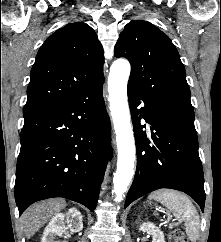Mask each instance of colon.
Returning <instances> with one entry per match:
<instances>
[{
    "instance_id": "colon-1",
    "label": "colon",
    "mask_w": 221,
    "mask_h": 242,
    "mask_svg": "<svg viewBox=\"0 0 221 242\" xmlns=\"http://www.w3.org/2000/svg\"><path fill=\"white\" fill-rule=\"evenodd\" d=\"M171 242H188L185 232L182 229H175L170 236Z\"/></svg>"
}]
</instances>
